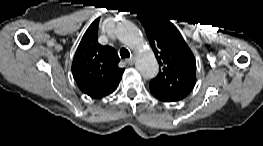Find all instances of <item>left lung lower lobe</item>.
<instances>
[{
  "instance_id": "1",
  "label": "left lung lower lobe",
  "mask_w": 263,
  "mask_h": 146,
  "mask_svg": "<svg viewBox=\"0 0 263 146\" xmlns=\"http://www.w3.org/2000/svg\"><path fill=\"white\" fill-rule=\"evenodd\" d=\"M150 92L158 99L164 101V102H174L172 99L168 98L164 94H162L158 89L155 87L150 86Z\"/></svg>"
}]
</instances>
